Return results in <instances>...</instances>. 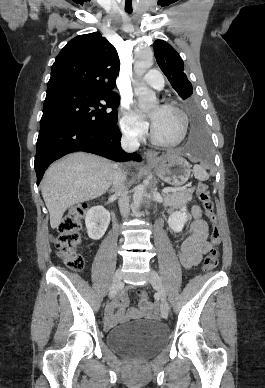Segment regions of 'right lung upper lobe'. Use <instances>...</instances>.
Listing matches in <instances>:
<instances>
[{"label": "right lung upper lobe", "instance_id": "obj_1", "mask_svg": "<svg viewBox=\"0 0 265 388\" xmlns=\"http://www.w3.org/2000/svg\"><path fill=\"white\" fill-rule=\"evenodd\" d=\"M119 69L116 49L99 32L79 35L69 41L56 57L47 95L111 90Z\"/></svg>", "mask_w": 265, "mask_h": 388}]
</instances>
